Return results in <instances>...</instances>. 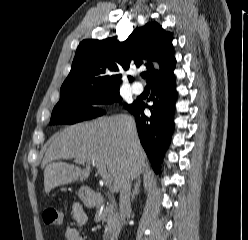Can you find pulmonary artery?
Here are the masks:
<instances>
[{"instance_id":"pulmonary-artery-1","label":"pulmonary artery","mask_w":248,"mask_h":240,"mask_svg":"<svg viewBox=\"0 0 248 240\" xmlns=\"http://www.w3.org/2000/svg\"><path fill=\"white\" fill-rule=\"evenodd\" d=\"M132 91L135 94H141L143 92V85L140 82H135L132 84Z\"/></svg>"}]
</instances>
